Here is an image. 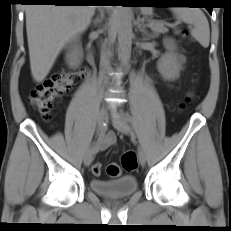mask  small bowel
I'll use <instances>...</instances> for the list:
<instances>
[{"label": "small bowel", "instance_id": "obj_1", "mask_svg": "<svg viewBox=\"0 0 231 231\" xmlns=\"http://www.w3.org/2000/svg\"><path fill=\"white\" fill-rule=\"evenodd\" d=\"M115 134L113 132H108L106 135H104V138L96 143V150L98 151H103L109 148L111 145L114 144L115 142Z\"/></svg>", "mask_w": 231, "mask_h": 231}]
</instances>
